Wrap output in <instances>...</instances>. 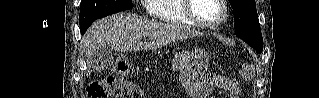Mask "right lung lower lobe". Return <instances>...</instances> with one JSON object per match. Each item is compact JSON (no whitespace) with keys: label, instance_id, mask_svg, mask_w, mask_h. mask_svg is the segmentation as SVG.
<instances>
[{"label":"right lung lower lobe","instance_id":"98d812e1","mask_svg":"<svg viewBox=\"0 0 319 98\" xmlns=\"http://www.w3.org/2000/svg\"><path fill=\"white\" fill-rule=\"evenodd\" d=\"M93 21H95V20H93ZM93 21H90V22H88V23H86V24L80 26L81 34H84V33H85V31H86L87 28L92 24Z\"/></svg>","mask_w":319,"mask_h":98}]
</instances>
